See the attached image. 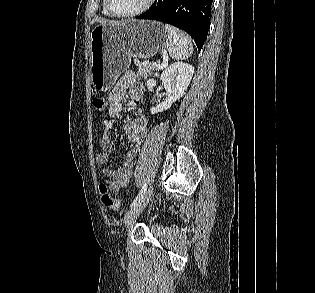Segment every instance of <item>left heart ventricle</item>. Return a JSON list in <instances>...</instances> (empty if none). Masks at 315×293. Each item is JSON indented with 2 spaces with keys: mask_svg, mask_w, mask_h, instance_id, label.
Returning a JSON list of instances; mask_svg holds the SVG:
<instances>
[{
  "mask_svg": "<svg viewBox=\"0 0 315 293\" xmlns=\"http://www.w3.org/2000/svg\"><path fill=\"white\" fill-rule=\"evenodd\" d=\"M147 0H112L113 8L120 13L133 12L140 9Z\"/></svg>",
  "mask_w": 315,
  "mask_h": 293,
  "instance_id": "obj_1",
  "label": "left heart ventricle"
}]
</instances>
